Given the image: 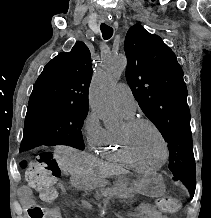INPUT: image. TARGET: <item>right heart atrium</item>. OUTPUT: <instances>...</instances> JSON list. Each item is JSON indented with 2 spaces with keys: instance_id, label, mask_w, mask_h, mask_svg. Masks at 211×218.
Listing matches in <instances>:
<instances>
[{
  "instance_id": "1",
  "label": "right heart atrium",
  "mask_w": 211,
  "mask_h": 218,
  "mask_svg": "<svg viewBox=\"0 0 211 218\" xmlns=\"http://www.w3.org/2000/svg\"><path fill=\"white\" fill-rule=\"evenodd\" d=\"M82 132L86 136L90 146L96 147L102 139L105 128L102 126L99 117L94 111H90L83 120Z\"/></svg>"
}]
</instances>
